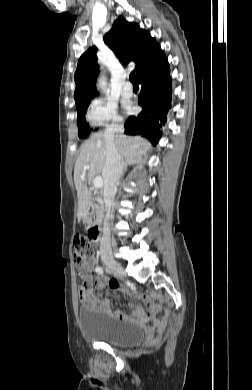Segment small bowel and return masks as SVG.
<instances>
[{
  "label": "small bowel",
  "instance_id": "obj_1",
  "mask_svg": "<svg viewBox=\"0 0 252 390\" xmlns=\"http://www.w3.org/2000/svg\"><path fill=\"white\" fill-rule=\"evenodd\" d=\"M96 264L97 260L92 257L79 273L82 281L78 290L80 304L85 309L94 310L115 319L139 322L141 324L152 322L151 332L161 334L166 328L168 314L158 316L157 314L160 306L159 304L154 303L149 295L131 292L127 288H120L124 295L141 299L147 306V309L145 310L141 306H135L134 304L129 303V307L134 309L131 315H125L118 310H112V302L109 299H96L94 297L92 294L94 288L98 290L108 288L113 292H116L119 289V284L114 279L104 280L101 277L93 279L91 271Z\"/></svg>",
  "mask_w": 252,
  "mask_h": 390
}]
</instances>
